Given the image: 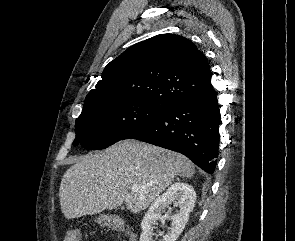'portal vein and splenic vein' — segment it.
<instances>
[{"mask_svg": "<svg viewBox=\"0 0 295 241\" xmlns=\"http://www.w3.org/2000/svg\"><path fill=\"white\" fill-rule=\"evenodd\" d=\"M140 188H141V187H140L138 184H134V185L131 186V190H132L133 192L138 191Z\"/></svg>", "mask_w": 295, "mask_h": 241, "instance_id": "obj_1", "label": "portal vein and splenic vein"}]
</instances>
